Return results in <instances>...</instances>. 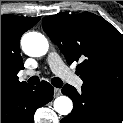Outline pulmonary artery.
<instances>
[{
    "label": "pulmonary artery",
    "mask_w": 123,
    "mask_h": 123,
    "mask_svg": "<svg viewBox=\"0 0 123 123\" xmlns=\"http://www.w3.org/2000/svg\"><path fill=\"white\" fill-rule=\"evenodd\" d=\"M47 62L53 73L56 74L59 78L76 87L81 85V79L67 68L56 52L52 51L48 54ZM25 74L33 75L34 71L28 70L25 72Z\"/></svg>",
    "instance_id": "pulmonary-artery-1"
}]
</instances>
